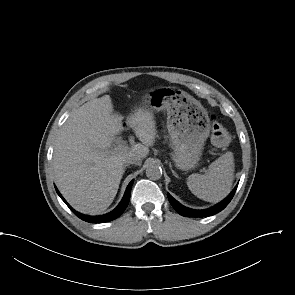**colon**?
<instances>
[{
	"instance_id": "5ec220e1",
	"label": "colon",
	"mask_w": 295,
	"mask_h": 295,
	"mask_svg": "<svg viewBox=\"0 0 295 295\" xmlns=\"http://www.w3.org/2000/svg\"><path fill=\"white\" fill-rule=\"evenodd\" d=\"M211 138L213 144L218 147H224L230 142V134L226 128L216 120H214L212 124Z\"/></svg>"
}]
</instances>
